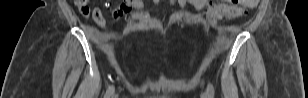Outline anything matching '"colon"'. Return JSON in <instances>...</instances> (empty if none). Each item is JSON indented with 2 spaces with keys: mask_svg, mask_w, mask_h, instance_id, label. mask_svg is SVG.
<instances>
[{
  "mask_svg": "<svg viewBox=\"0 0 308 98\" xmlns=\"http://www.w3.org/2000/svg\"><path fill=\"white\" fill-rule=\"evenodd\" d=\"M258 2L259 0H227L222 3L207 2L203 12L210 23H216L223 18L239 17L243 14L244 8L257 5ZM75 3L84 15H88L90 11L89 0H75ZM127 12V9L124 10L122 7H119L114 13L116 16H124ZM129 13L131 16H152L154 11L152 9H131ZM130 15L125 17L127 22L134 19Z\"/></svg>",
  "mask_w": 308,
  "mask_h": 98,
  "instance_id": "1",
  "label": "colon"
}]
</instances>
